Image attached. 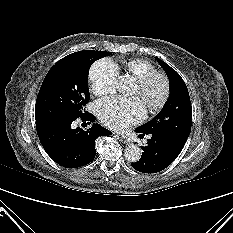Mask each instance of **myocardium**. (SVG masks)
I'll return each instance as SVG.
<instances>
[{"label":"myocardium","instance_id":"myocardium-1","mask_svg":"<svg viewBox=\"0 0 233 233\" xmlns=\"http://www.w3.org/2000/svg\"><path fill=\"white\" fill-rule=\"evenodd\" d=\"M157 80L162 82L163 92L157 101L147 104V106H146L147 109L152 113L157 112L160 109H162L163 106L168 101L169 96H170V92H171V86H170L169 79L167 78L166 75H164L162 73L154 72V73H151L143 78L138 79L136 82V84L139 88L140 94L142 95L147 91V89L151 86V84Z\"/></svg>","mask_w":233,"mask_h":233}]
</instances>
